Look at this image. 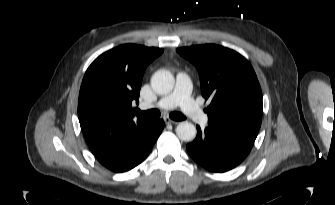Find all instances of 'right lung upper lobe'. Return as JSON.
Instances as JSON below:
<instances>
[{
  "label": "right lung upper lobe",
  "mask_w": 335,
  "mask_h": 205,
  "mask_svg": "<svg viewBox=\"0 0 335 205\" xmlns=\"http://www.w3.org/2000/svg\"><path fill=\"white\" fill-rule=\"evenodd\" d=\"M162 52L161 48L124 44L100 55L87 69L78 118L95 156L125 151L157 127V119L139 115L134 104L139 102L146 67Z\"/></svg>",
  "instance_id": "cb5924a9"
}]
</instances>
